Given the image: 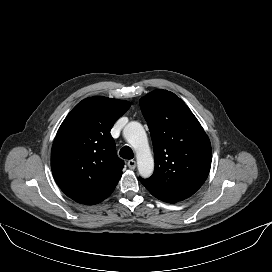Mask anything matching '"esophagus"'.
<instances>
[{"mask_svg":"<svg viewBox=\"0 0 272 272\" xmlns=\"http://www.w3.org/2000/svg\"><path fill=\"white\" fill-rule=\"evenodd\" d=\"M127 165L130 169H134L136 167V161L135 160H129L127 162Z\"/></svg>","mask_w":272,"mask_h":272,"instance_id":"34e87169","label":"esophagus"}]
</instances>
